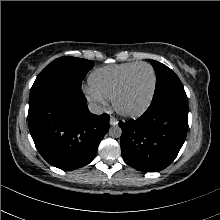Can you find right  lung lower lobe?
Listing matches in <instances>:
<instances>
[{
    "instance_id": "98d812e1",
    "label": "right lung lower lobe",
    "mask_w": 220,
    "mask_h": 220,
    "mask_svg": "<svg viewBox=\"0 0 220 220\" xmlns=\"http://www.w3.org/2000/svg\"><path fill=\"white\" fill-rule=\"evenodd\" d=\"M109 115H93L81 83L51 79L30 90L28 124L41 156L51 165L74 170L89 164L110 128Z\"/></svg>"
}]
</instances>
